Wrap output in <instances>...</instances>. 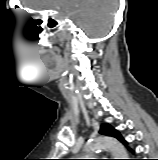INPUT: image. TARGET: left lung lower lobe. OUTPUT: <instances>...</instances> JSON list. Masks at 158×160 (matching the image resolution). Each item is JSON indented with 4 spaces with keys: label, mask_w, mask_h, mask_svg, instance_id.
<instances>
[{
    "label": "left lung lower lobe",
    "mask_w": 158,
    "mask_h": 160,
    "mask_svg": "<svg viewBox=\"0 0 158 160\" xmlns=\"http://www.w3.org/2000/svg\"><path fill=\"white\" fill-rule=\"evenodd\" d=\"M124 144H127V142L125 140L122 141Z\"/></svg>",
    "instance_id": "obj_1"
}]
</instances>
